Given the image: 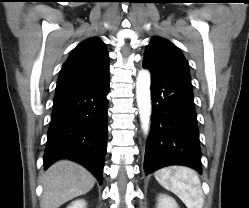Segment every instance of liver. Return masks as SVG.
<instances>
[{"label":"liver","instance_id":"liver-1","mask_svg":"<svg viewBox=\"0 0 249 208\" xmlns=\"http://www.w3.org/2000/svg\"><path fill=\"white\" fill-rule=\"evenodd\" d=\"M41 183V208H59L89 192L95 185V178L83 166L69 160H59L47 169Z\"/></svg>","mask_w":249,"mask_h":208}]
</instances>
